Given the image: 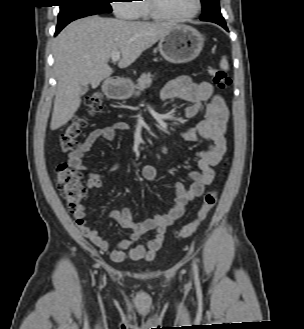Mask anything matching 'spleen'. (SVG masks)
Instances as JSON below:
<instances>
[{
    "label": "spleen",
    "mask_w": 304,
    "mask_h": 329,
    "mask_svg": "<svg viewBox=\"0 0 304 329\" xmlns=\"http://www.w3.org/2000/svg\"><path fill=\"white\" fill-rule=\"evenodd\" d=\"M220 67L223 69V70H228L229 69V64H228V61L226 59V57H223L221 62H220Z\"/></svg>",
    "instance_id": "3e777b00"
}]
</instances>
